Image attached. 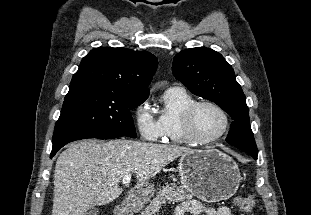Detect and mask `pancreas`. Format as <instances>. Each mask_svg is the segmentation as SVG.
Segmentation results:
<instances>
[{"label": "pancreas", "mask_w": 311, "mask_h": 215, "mask_svg": "<svg viewBox=\"0 0 311 215\" xmlns=\"http://www.w3.org/2000/svg\"><path fill=\"white\" fill-rule=\"evenodd\" d=\"M192 196L188 194L182 187L176 189V185L163 186L160 188L156 197L143 210L142 215H155L161 207L166 203H176L190 199Z\"/></svg>", "instance_id": "pancreas-1"}]
</instances>
